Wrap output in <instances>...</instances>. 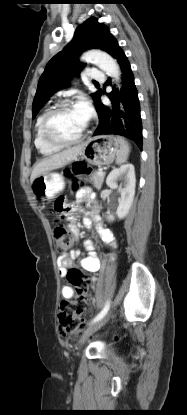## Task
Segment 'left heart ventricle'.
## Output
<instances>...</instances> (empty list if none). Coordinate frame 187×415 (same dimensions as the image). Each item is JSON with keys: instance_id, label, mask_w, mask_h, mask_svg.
Wrapping results in <instances>:
<instances>
[{"instance_id": "b2bd125f", "label": "left heart ventricle", "mask_w": 187, "mask_h": 415, "mask_svg": "<svg viewBox=\"0 0 187 415\" xmlns=\"http://www.w3.org/2000/svg\"><path fill=\"white\" fill-rule=\"evenodd\" d=\"M86 123L74 107H69L53 118L51 131L61 139H73L83 131Z\"/></svg>"}]
</instances>
